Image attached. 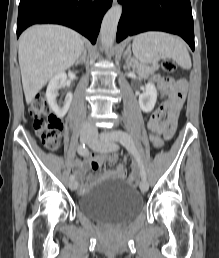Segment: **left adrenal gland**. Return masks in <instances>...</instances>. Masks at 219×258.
Listing matches in <instances>:
<instances>
[{"mask_svg":"<svg viewBox=\"0 0 219 258\" xmlns=\"http://www.w3.org/2000/svg\"><path fill=\"white\" fill-rule=\"evenodd\" d=\"M124 58L126 60V65L129 68L131 66V46L129 45L124 53Z\"/></svg>","mask_w":219,"mask_h":258,"instance_id":"left-adrenal-gland-1","label":"left adrenal gland"}]
</instances>
